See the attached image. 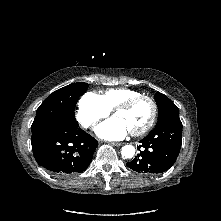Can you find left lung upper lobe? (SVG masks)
I'll return each mask as SVG.
<instances>
[{"label":"left lung upper lobe","mask_w":221,"mask_h":221,"mask_svg":"<svg viewBox=\"0 0 221 221\" xmlns=\"http://www.w3.org/2000/svg\"><path fill=\"white\" fill-rule=\"evenodd\" d=\"M155 100L159 111L157 125L166 121H180L179 109L168 97L157 92Z\"/></svg>","instance_id":"5c2ea615"}]
</instances>
